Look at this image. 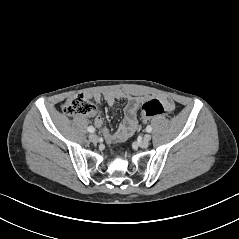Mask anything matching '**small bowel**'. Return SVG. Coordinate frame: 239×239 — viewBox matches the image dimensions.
Here are the masks:
<instances>
[{
    "label": "small bowel",
    "mask_w": 239,
    "mask_h": 239,
    "mask_svg": "<svg viewBox=\"0 0 239 239\" xmlns=\"http://www.w3.org/2000/svg\"><path fill=\"white\" fill-rule=\"evenodd\" d=\"M89 98H92L96 102H100L102 99H104L108 106H113L117 100H123L125 102V116L123 122L119 125V127L115 131H110L107 128H103L102 130L103 136L107 142H121L128 139L135 133L138 128L136 113L139 105L143 101V98L127 95L120 91H110L104 93L103 95L95 93L89 95ZM162 101L168 111H171L175 108V104L170 98H163ZM94 125L97 128L103 127V120L100 116H95Z\"/></svg>",
    "instance_id": "small-bowel-1"
}]
</instances>
